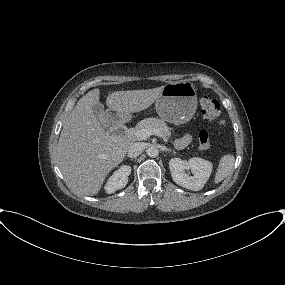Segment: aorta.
I'll return each instance as SVG.
<instances>
[{
	"instance_id": "1",
	"label": "aorta",
	"mask_w": 285,
	"mask_h": 285,
	"mask_svg": "<svg viewBox=\"0 0 285 285\" xmlns=\"http://www.w3.org/2000/svg\"><path fill=\"white\" fill-rule=\"evenodd\" d=\"M146 153L149 157L155 158L159 154V149L156 146H150L147 150Z\"/></svg>"
}]
</instances>
